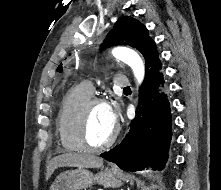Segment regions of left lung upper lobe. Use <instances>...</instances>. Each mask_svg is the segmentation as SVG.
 Here are the masks:
<instances>
[{"label": "left lung upper lobe", "mask_w": 221, "mask_h": 190, "mask_svg": "<svg viewBox=\"0 0 221 190\" xmlns=\"http://www.w3.org/2000/svg\"><path fill=\"white\" fill-rule=\"evenodd\" d=\"M108 40L112 45H130L139 50L145 59V71L158 60L156 44L149 37L147 28L130 16L118 19L108 34Z\"/></svg>", "instance_id": "5c2ea615"}]
</instances>
